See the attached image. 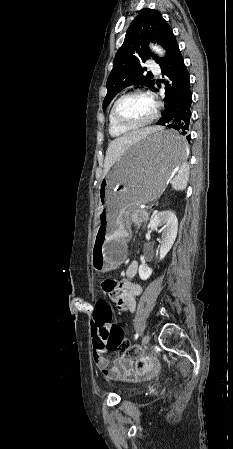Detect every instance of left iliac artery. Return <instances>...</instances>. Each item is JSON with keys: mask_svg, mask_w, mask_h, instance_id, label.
<instances>
[{"mask_svg": "<svg viewBox=\"0 0 233 449\" xmlns=\"http://www.w3.org/2000/svg\"><path fill=\"white\" fill-rule=\"evenodd\" d=\"M138 337H139V333L137 332V333L135 334V340H137Z\"/></svg>", "mask_w": 233, "mask_h": 449, "instance_id": "left-iliac-artery-1", "label": "left iliac artery"}]
</instances>
